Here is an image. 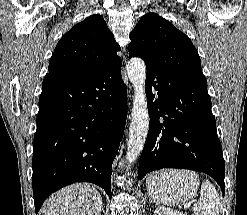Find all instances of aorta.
Listing matches in <instances>:
<instances>
[{
	"mask_svg": "<svg viewBox=\"0 0 247 215\" xmlns=\"http://www.w3.org/2000/svg\"><path fill=\"white\" fill-rule=\"evenodd\" d=\"M127 73L135 92L126 152V160L128 164H132L141 154L149 130V113L145 93L146 66L144 61L139 57L131 58L127 64ZM129 167L130 165L127 169Z\"/></svg>",
	"mask_w": 247,
	"mask_h": 215,
	"instance_id": "obj_1",
	"label": "aorta"
}]
</instances>
